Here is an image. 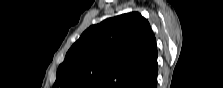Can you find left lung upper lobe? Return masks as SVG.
Here are the masks:
<instances>
[{
	"mask_svg": "<svg viewBox=\"0 0 223 88\" xmlns=\"http://www.w3.org/2000/svg\"><path fill=\"white\" fill-rule=\"evenodd\" d=\"M157 64L156 39L137 12L90 26L57 70L54 86L130 88Z\"/></svg>",
	"mask_w": 223,
	"mask_h": 88,
	"instance_id": "left-lung-upper-lobe-1",
	"label": "left lung upper lobe"
}]
</instances>
